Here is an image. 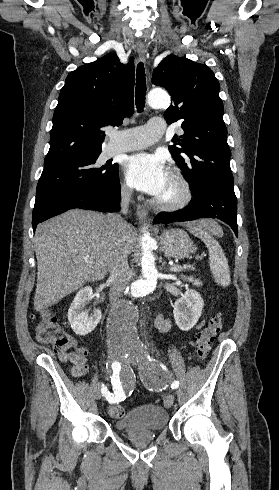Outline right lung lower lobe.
I'll use <instances>...</instances> for the list:
<instances>
[{
	"mask_svg": "<svg viewBox=\"0 0 279 490\" xmlns=\"http://www.w3.org/2000/svg\"><path fill=\"white\" fill-rule=\"evenodd\" d=\"M120 183L117 177L111 184L93 186L46 188L36 193L32 226L69 209L80 208L100 212L119 210Z\"/></svg>",
	"mask_w": 279,
	"mask_h": 490,
	"instance_id": "obj_1",
	"label": "right lung lower lobe"
}]
</instances>
